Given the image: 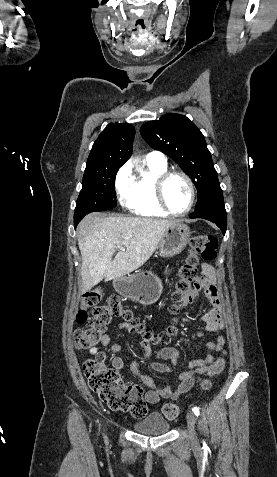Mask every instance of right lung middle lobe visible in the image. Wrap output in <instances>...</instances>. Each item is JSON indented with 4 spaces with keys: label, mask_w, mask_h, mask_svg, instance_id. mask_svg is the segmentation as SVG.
I'll list each match as a JSON object with an SVG mask.
<instances>
[{
    "label": "right lung middle lobe",
    "mask_w": 277,
    "mask_h": 477,
    "mask_svg": "<svg viewBox=\"0 0 277 477\" xmlns=\"http://www.w3.org/2000/svg\"><path fill=\"white\" fill-rule=\"evenodd\" d=\"M119 167L84 173L82 189L74 212L75 227L88 213L112 209L117 205L115 177Z\"/></svg>",
    "instance_id": "dd1d6c3e"
}]
</instances>
